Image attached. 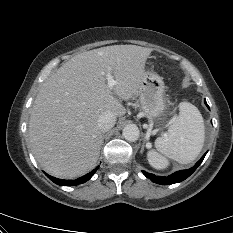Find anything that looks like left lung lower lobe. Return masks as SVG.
<instances>
[{
	"label": "left lung lower lobe",
	"instance_id": "0a47b994",
	"mask_svg": "<svg viewBox=\"0 0 233 233\" xmlns=\"http://www.w3.org/2000/svg\"><path fill=\"white\" fill-rule=\"evenodd\" d=\"M205 104L209 108L206 100H205ZM206 153L202 156V158L196 163V165L194 167H192L188 170L177 171L168 177L155 176V175L147 173L145 171H142V172L147 178H149L151 181H153L157 184L170 185V184L178 183V182H181V181L185 180L186 178H188L196 170V168L203 161Z\"/></svg>",
	"mask_w": 233,
	"mask_h": 233
}]
</instances>
